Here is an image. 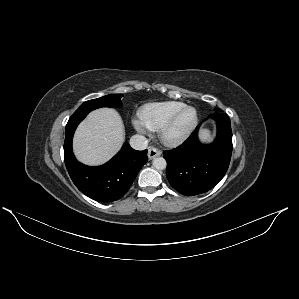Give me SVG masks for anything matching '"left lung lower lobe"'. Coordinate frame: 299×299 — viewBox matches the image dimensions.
I'll return each instance as SVG.
<instances>
[{
    "label": "left lung lower lobe",
    "instance_id": "left-lung-lower-lobe-1",
    "mask_svg": "<svg viewBox=\"0 0 299 299\" xmlns=\"http://www.w3.org/2000/svg\"><path fill=\"white\" fill-rule=\"evenodd\" d=\"M217 123V137L209 145L198 140V125L191 136L175 149L163 152L166 177L179 193L194 196L205 193L224 177L232 154L231 123L227 114L209 116Z\"/></svg>",
    "mask_w": 299,
    "mask_h": 299
}]
</instances>
